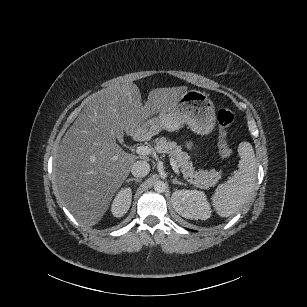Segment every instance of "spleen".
<instances>
[{"label":"spleen","mask_w":307,"mask_h":307,"mask_svg":"<svg viewBox=\"0 0 307 307\" xmlns=\"http://www.w3.org/2000/svg\"><path fill=\"white\" fill-rule=\"evenodd\" d=\"M238 170L225 183L220 184L213 197L214 205L222 216H230L250 197L256 188L257 166L250 143L238 147Z\"/></svg>","instance_id":"3e777b00"}]
</instances>
